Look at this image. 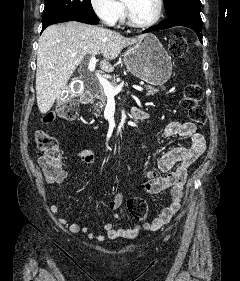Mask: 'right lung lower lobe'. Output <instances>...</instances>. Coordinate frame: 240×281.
Returning <instances> with one entry per match:
<instances>
[{
    "label": "right lung lower lobe",
    "mask_w": 240,
    "mask_h": 281,
    "mask_svg": "<svg viewBox=\"0 0 240 281\" xmlns=\"http://www.w3.org/2000/svg\"><path fill=\"white\" fill-rule=\"evenodd\" d=\"M66 21H78V22H82V23H87V24H98L99 23V19L95 18V19H88V18H74V17H64V18H58L52 22H50L49 24L43 25L42 27V31L48 27L51 24H55V23H60V22H66Z\"/></svg>",
    "instance_id": "1"
}]
</instances>
